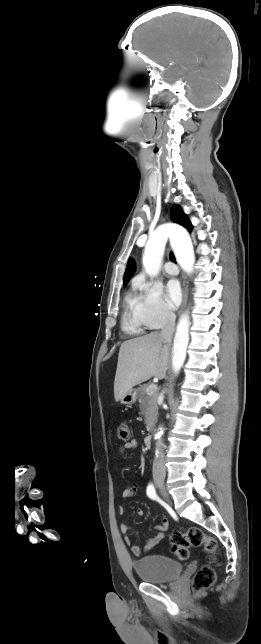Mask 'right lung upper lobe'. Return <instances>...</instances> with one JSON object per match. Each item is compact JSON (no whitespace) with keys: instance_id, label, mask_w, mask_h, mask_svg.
Masks as SVG:
<instances>
[{"instance_id":"right-lung-upper-lobe-1","label":"right lung upper lobe","mask_w":261,"mask_h":644,"mask_svg":"<svg viewBox=\"0 0 261 644\" xmlns=\"http://www.w3.org/2000/svg\"><path fill=\"white\" fill-rule=\"evenodd\" d=\"M171 220L174 223H178L182 226H184L186 229H188L189 232L192 231V225L189 222L188 217L184 214L182 209L179 206H173L171 208ZM135 270V266L133 261L130 259L127 263V267L125 270V275H124V284L128 282L130 277L132 276L133 272Z\"/></svg>"}]
</instances>
